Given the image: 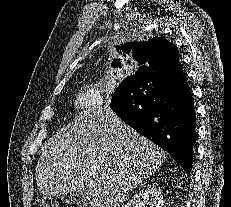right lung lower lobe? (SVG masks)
<instances>
[{"mask_svg":"<svg viewBox=\"0 0 231 207\" xmlns=\"http://www.w3.org/2000/svg\"><path fill=\"white\" fill-rule=\"evenodd\" d=\"M110 107L190 174L196 114L182 65L172 69L159 65L139 67L135 75L118 86Z\"/></svg>","mask_w":231,"mask_h":207,"instance_id":"right-lung-lower-lobe-1","label":"right lung lower lobe"}]
</instances>
